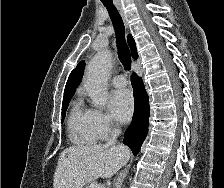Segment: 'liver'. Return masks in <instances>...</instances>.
Returning a JSON list of instances; mask_svg holds the SVG:
<instances>
[{
	"label": "liver",
	"instance_id": "1",
	"mask_svg": "<svg viewBox=\"0 0 224 188\" xmlns=\"http://www.w3.org/2000/svg\"><path fill=\"white\" fill-rule=\"evenodd\" d=\"M125 146L86 145L64 149L58 159L53 188H83L99 177L110 178L129 160Z\"/></svg>",
	"mask_w": 224,
	"mask_h": 188
}]
</instances>
